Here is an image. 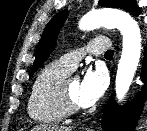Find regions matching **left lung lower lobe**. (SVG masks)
<instances>
[{
    "label": "left lung lower lobe",
    "instance_id": "1",
    "mask_svg": "<svg viewBox=\"0 0 147 131\" xmlns=\"http://www.w3.org/2000/svg\"><path fill=\"white\" fill-rule=\"evenodd\" d=\"M142 79L144 81L143 90L137 95L134 101L126 107L119 108L115 101L110 100L102 119V128L105 131H130L134 128L136 117L143 105V100L147 94V50L145 51Z\"/></svg>",
    "mask_w": 147,
    "mask_h": 131
}]
</instances>
